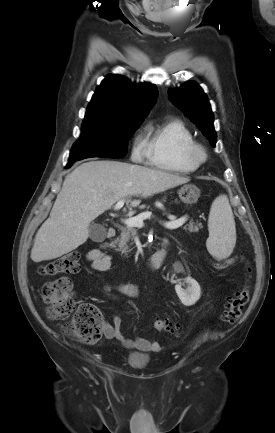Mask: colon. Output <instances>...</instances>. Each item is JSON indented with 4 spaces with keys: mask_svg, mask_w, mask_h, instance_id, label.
<instances>
[{
    "mask_svg": "<svg viewBox=\"0 0 275 433\" xmlns=\"http://www.w3.org/2000/svg\"><path fill=\"white\" fill-rule=\"evenodd\" d=\"M231 262L215 263L216 268H225ZM81 269L80 254L70 252L43 265L40 269L45 276H57L56 279L46 282L42 288V298L48 305L47 315L52 320L65 321V330L84 344L96 343L102 335L103 315L91 303H82L76 306L73 294L71 275L77 274ZM250 273V268L245 269ZM250 292L246 284L228 298L222 315L223 321L233 325L237 323L249 301ZM157 331H166L178 334L179 326L167 319H157L154 322Z\"/></svg>",
    "mask_w": 275,
    "mask_h": 433,
    "instance_id": "5ec220e1",
    "label": "colon"
}]
</instances>
